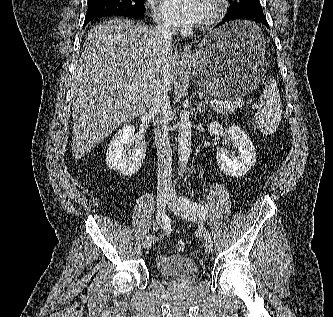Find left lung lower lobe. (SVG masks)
Masks as SVG:
<instances>
[{
	"label": "left lung lower lobe",
	"instance_id": "1",
	"mask_svg": "<svg viewBox=\"0 0 333 317\" xmlns=\"http://www.w3.org/2000/svg\"><path fill=\"white\" fill-rule=\"evenodd\" d=\"M241 19H250L254 21L261 22L264 24L267 28H269V25L266 20V16L264 15L262 9H249L244 10L241 12L233 13V14H227L226 17L216 26H220L226 22L234 21V20H241Z\"/></svg>",
	"mask_w": 333,
	"mask_h": 317
}]
</instances>
